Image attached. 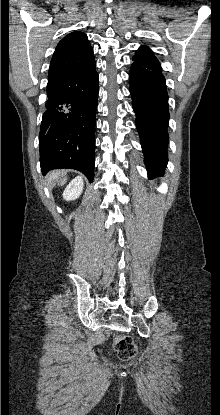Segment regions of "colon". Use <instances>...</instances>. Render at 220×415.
<instances>
[{"label": "colon", "instance_id": "5ec220e1", "mask_svg": "<svg viewBox=\"0 0 220 415\" xmlns=\"http://www.w3.org/2000/svg\"><path fill=\"white\" fill-rule=\"evenodd\" d=\"M113 349L123 360H130L136 355V346L129 336H116Z\"/></svg>", "mask_w": 220, "mask_h": 415}]
</instances>
